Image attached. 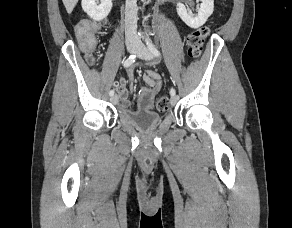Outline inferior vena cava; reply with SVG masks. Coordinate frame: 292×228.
<instances>
[{
    "mask_svg": "<svg viewBox=\"0 0 292 228\" xmlns=\"http://www.w3.org/2000/svg\"><path fill=\"white\" fill-rule=\"evenodd\" d=\"M137 29V0H126L125 7V37L127 41L139 42Z\"/></svg>",
    "mask_w": 292,
    "mask_h": 228,
    "instance_id": "602c4592",
    "label": "inferior vena cava"
}]
</instances>
